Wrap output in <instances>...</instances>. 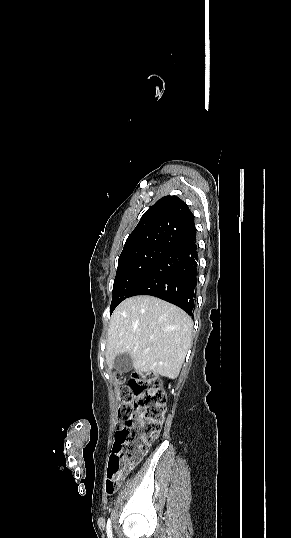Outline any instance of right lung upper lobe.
Returning a JSON list of instances; mask_svg holds the SVG:
<instances>
[{"label": "right lung upper lobe", "mask_w": 291, "mask_h": 538, "mask_svg": "<svg viewBox=\"0 0 291 538\" xmlns=\"http://www.w3.org/2000/svg\"><path fill=\"white\" fill-rule=\"evenodd\" d=\"M194 235V216L188 205L177 196H164L142 215L121 254L153 245L173 248Z\"/></svg>", "instance_id": "1"}]
</instances>
